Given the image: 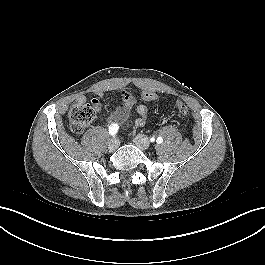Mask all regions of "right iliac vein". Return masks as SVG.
I'll use <instances>...</instances> for the list:
<instances>
[{
  "label": "right iliac vein",
  "instance_id": "right-iliac-vein-1",
  "mask_svg": "<svg viewBox=\"0 0 265 265\" xmlns=\"http://www.w3.org/2000/svg\"><path fill=\"white\" fill-rule=\"evenodd\" d=\"M119 145H120V141L117 138H113L108 143V149L110 151H114L119 147Z\"/></svg>",
  "mask_w": 265,
  "mask_h": 265
}]
</instances>
